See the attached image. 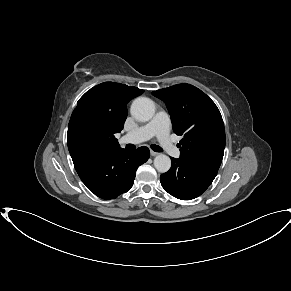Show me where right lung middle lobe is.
I'll return each mask as SVG.
<instances>
[{
  "label": "right lung middle lobe",
  "mask_w": 291,
  "mask_h": 291,
  "mask_svg": "<svg viewBox=\"0 0 291 291\" xmlns=\"http://www.w3.org/2000/svg\"><path fill=\"white\" fill-rule=\"evenodd\" d=\"M71 141L86 143L88 141L87 132L82 128L74 130L71 134Z\"/></svg>",
  "instance_id": "dd1d6c3e"
}]
</instances>
